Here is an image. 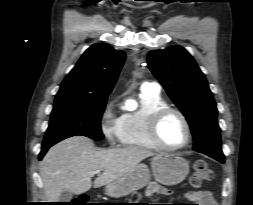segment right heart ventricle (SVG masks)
Segmentation results:
<instances>
[{
  "label": "right heart ventricle",
  "mask_w": 253,
  "mask_h": 205,
  "mask_svg": "<svg viewBox=\"0 0 253 205\" xmlns=\"http://www.w3.org/2000/svg\"><path fill=\"white\" fill-rule=\"evenodd\" d=\"M140 107L120 117L119 142L123 147L157 150L148 135V122L151 115L168 104L159 92L141 90Z\"/></svg>",
  "instance_id": "1"
}]
</instances>
